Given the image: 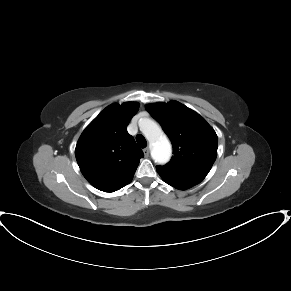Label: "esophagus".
Returning <instances> with one entry per match:
<instances>
[{
	"label": "esophagus",
	"instance_id": "obj_1",
	"mask_svg": "<svg viewBox=\"0 0 291 291\" xmlns=\"http://www.w3.org/2000/svg\"><path fill=\"white\" fill-rule=\"evenodd\" d=\"M143 152H144V155H145L146 157L149 156V149H148V148H145V149L143 150Z\"/></svg>",
	"mask_w": 291,
	"mask_h": 291
}]
</instances>
